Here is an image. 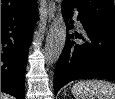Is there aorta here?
<instances>
[{
	"mask_svg": "<svg viewBox=\"0 0 115 99\" xmlns=\"http://www.w3.org/2000/svg\"><path fill=\"white\" fill-rule=\"evenodd\" d=\"M51 13L55 11V6L49 9ZM66 41V27L62 16L57 15L51 25L45 44L44 60L48 65L56 63L63 51Z\"/></svg>",
	"mask_w": 115,
	"mask_h": 99,
	"instance_id": "762f6f07",
	"label": "aorta"
}]
</instances>
